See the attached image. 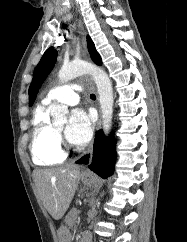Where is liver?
<instances>
[{
	"label": "liver",
	"mask_w": 187,
	"mask_h": 242,
	"mask_svg": "<svg viewBox=\"0 0 187 242\" xmlns=\"http://www.w3.org/2000/svg\"><path fill=\"white\" fill-rule=\"evenodd\" d=\"M33 176L45 208L55 220L61 219L77 190L79 166L69 164L55 169H36Z\"/></svg>",
	"instance_id": "6515ba94"
}]
</instances>
